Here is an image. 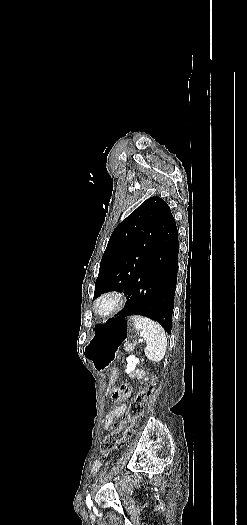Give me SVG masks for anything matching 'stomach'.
I'll return each instance as SVG.
<instances>
[{
    "mask_svg": "<svg viewBox=\"0 0 247 525\" xmlns=\"http://www.w3.org/2000/svg\"><path fill=\"white\" fill-rule=\"evenodd\" d=\"M131 318H111L96 325L87 346L85 357L98 371H105L114 360L121 345L137 335Z\"/></svg>",
    "mask_w": 247,
    "mask_h": 525,
    "instance_id": "obj_1",
    "label": "stomach"
}]
</instances>
